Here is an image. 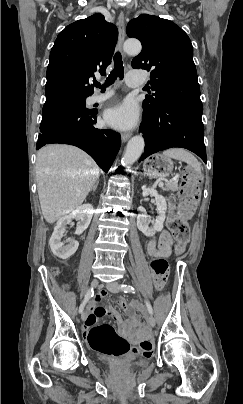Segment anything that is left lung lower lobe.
<instances>
[{
	"mask_svg": "<svg viewBox=\"0 0 243 404\" xmlns=\"http://www.w3.org/2000/svg\"><path fill=\"white\" fill-rule=\"evenodd\" d=\"M202 112V102L172 100L161 105L152 116H143L140 131L145 139V151L139 161L158 151L181 147L207 163Z\"/></svg>",
	"mask_w": 243,
	"mask_h": 404,
	"instance_id": "left-lung-lower-lobe-1",
	"label": "left lung lower lobe"
}]
</instances>
